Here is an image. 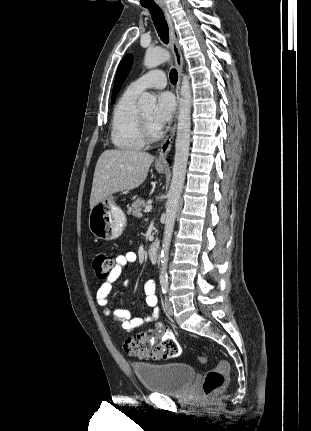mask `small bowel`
<instances>
[{"label": "small bowel", "instance_id": "1", "mask_svg": "<svg viewBox=\"0 0 311 431\" xmlns=\"http://www.w3.org/2000/svg\"><path fill=\"white\" fill-rule=\"evenodd\" d=\"M136 261L137 255L133 251H127L118 255L116 257L115 267L101 284L96 294L97 303L101 307L103 314L112 317L121 325L122 329L127 334H131L135 329L157 321L159 317L158 299L155 293L156 286L153 280H148L144 285L145 303L150 309L147 315L131 318L128 310L112 309L109 305V294L111 292L112 285L120 277L123 270L131 267ZM124 286L127 288L129 286V282L125 281ZM160 334L163 335L162 337L169 335L173 336V333L170 330H164L162 325L157 323L156 333L152 339H157ZM143 335L147 336L146 334Z\"/></svg>", "mask_w": 311, "mask_h": 431}]
</instances>
